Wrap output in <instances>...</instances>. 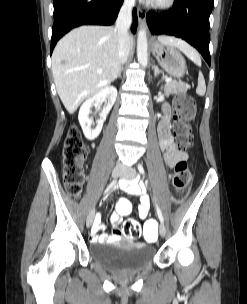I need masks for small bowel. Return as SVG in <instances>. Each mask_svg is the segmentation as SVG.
<instances>
[{"label": "small bowel", "mask_w": 247, "mask_h": 304, "mask_svg": "<svg viewBox=\"0 0 247 304\" xmlns=\"http://www.w3.org/2000/svg\"><path fill=\"white\" fill-rule=\"evenodd\" d=\"M158 137L160 148L164 153V160L167 167L172 168L176 166L177 163L185 157V154L177 148L174 137L171 133L170 109L168 106H165L164 115L158 125ZM120 187L123 191L136 195L140 198L138 215L141 219H145L150 211V200L144 183L139 181H123L120 184ZM113 220H118V216L116 214L113 215ZM120 238L121 233L118 230H116L112 235H107L104 233V226L101 222V217L98 216L96 218L93 232L90 237L92 242L100 243L105 241H115Z\"/></svg>", "instance_id": "obj_1"}]
</instances>
